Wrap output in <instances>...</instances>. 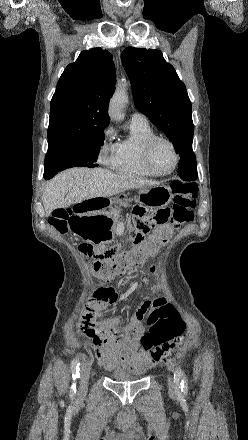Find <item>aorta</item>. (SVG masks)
<instances>
[{
  "instance_id": "762f6f07",
  "label": "aorta",
  "mask_w": 248,
  "mask_h": 440,
  "mask_svg": "<svg viewBox=\"0 0 248 440\" xmlns=\"http://www.w3.org/2000/svg\"><path fill=\"white\" fill-rule=\"evenodd\" d=\"M127 102L126 85H121L115 91L110 100L109 115L115 121H121L124 118L123 108Z\"/></svg>"
}]
</instances>
